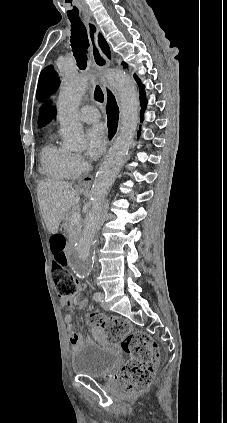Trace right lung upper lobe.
<instances>
[{
  "label": "right lung upper lobe",
  "instance_id": "right-lung-upper-lobe-1",
  "mask_svg": "<svg viewBox=\"0 0 227 423\" xmlns=\"http://www.w3.org/2000/svg\"><path fill=\"white\" fill-rule=\"evenodd\" d=\"M99 44L101 49L103 50L104 54L110 57V50L107 42L100 36ZM60 83L59 77H57V73L53 70L52 66L46 67L40 74L39 82H38V89H37V98L38 100H43L48 95L54 93Z\"/></svg>",
  "mask_w": 227,
  "mask_h": 423
}]
</instances>
